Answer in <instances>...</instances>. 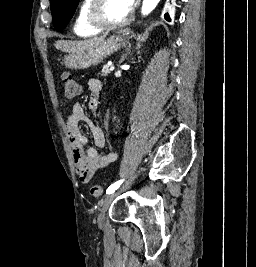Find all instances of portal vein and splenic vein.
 Wrapping results in <instances>:
<instances>
[{"label": "portal vein and splenic vein", "instance_id": "obj_1", "mask_svg": "<svg viewBox=\"0 0 256 267\" xmlns=\"http://www.w3.org/2000/svg\"><path fill=\"white\" fill-rule=\"evenodd\" d=\"M107 68L110 69V70H114V64H108Z\"/></svg>", "mask_w": 256, "mask_h": 267}]
</instances>
